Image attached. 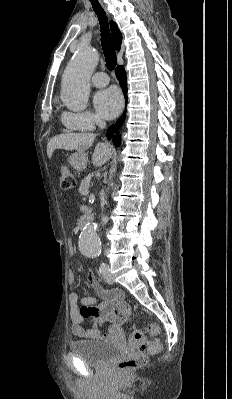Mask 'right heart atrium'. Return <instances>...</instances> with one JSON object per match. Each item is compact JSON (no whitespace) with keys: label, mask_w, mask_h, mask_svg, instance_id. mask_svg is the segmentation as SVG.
Masks as SVG:
<instances>
[{"label":"right heart atrium","mask_w":232,"mask_h":399,"mask_svg":"<svg viewBox=\"0 0 232 399\" xmlns=\"http://www.w3.org/2000/svg\"><path fill=\"white\" fill-rule=\"evenodd\" d=\"M66 104H80V103H66ZM63 119L67 122L73 123L83 130H91L95 123L98 122L96 116L90 111H83L80 113L65 112Z\"/></svg>","instance_id":"obj_1"}]
</instances>
